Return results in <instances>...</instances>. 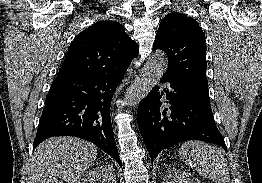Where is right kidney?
Listing matches in <instances>:
<instances>
[{"mask_svg":"<svg viewBox=\"0 0 262 183\" xmlns=\"http://www.w3.org/2000/svg\"><path fill=\"white\" fill-rule=\"evenodd\" d=\"M116 183V176L114 169L110 165H102L89 170L81 179L79 183Z\"/></svg>","mask_w":262,"mask_h":183,"instance_id":"ca27d5eb","label":"right kidney"}]
</instances>
